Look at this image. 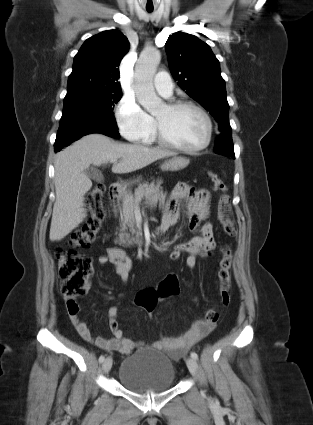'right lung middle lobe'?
<instances>
[{
	"mask_svg": "<svg viewBox=\"0 0 313 425\" xmlns=\"http://www.w3.org/2000/svg\"><path fill=\"white\" fill-rule=\"evenodd\" d=\"M121 91H78L66 94L64 108H76L114 116L113 107L121 99Z\"/></svg>",
	"mask_w": 313,
	"mask_h": 425,
	"instance_id": "dd1d6c3e",
	"label": "right lung middle lobe"
}]
</instances>
